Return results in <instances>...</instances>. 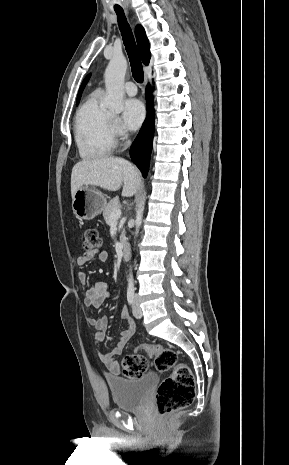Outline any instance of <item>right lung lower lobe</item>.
<instances>
[{"mask_svg":"<svg viewBox=\"0 0 289 465\" xmlns=\"http://www.w3.org/2000/svg\"><path fill=\"white\" fill-rule=\"evenodd\" d=\"M146 100L148 116L130 149L131 159L140 169L143 177H146L148 172L154 135V110L150 86L146 89Z\"/></svg>","mask_w":289,"mask_h":465,"instance_id":"1","label":"right lung lower lobe"}]
</instances>
